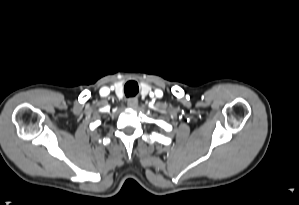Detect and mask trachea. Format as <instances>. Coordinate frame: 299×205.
I'll return each instance as SVG.
<instances>
[{
  "label": "trachea",
  "mask_w": 299,
  "mask_h": 205,
  "mask_svg": "<svg viewBox=\"0 0 299 205\" xmlns=\"http://www.w3.org/2000/svg\"><path fill=\"white\" fill-rule=\"evenodd\" d=\"M138 90V84L135 81H129L124 86V92L127 97H134Z\"/></svg>",
  "instance_id": "obj_1"
}]
</instances>
